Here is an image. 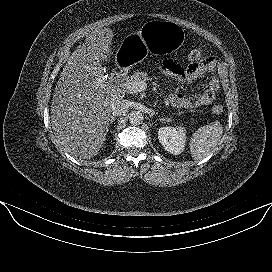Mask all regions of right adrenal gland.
Segmentation results:
<instances>
[{
	"instance_id": "1",
	"label": "right adrenal gland",
	"mask_w": 272,
	"mask_h": 272,
	"mask_svg": "<svg viewBox=\"0 0 272 272\" xmlns=\"http://www.w3.org/2000/svg\"><path fill=\"white\" fill-rule=\"evenodd\" d=\"M115 119H116V117L114 115H111L110 119H109L108 126L112 125Z\"/></svg>"
}]
</instances>
